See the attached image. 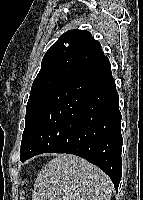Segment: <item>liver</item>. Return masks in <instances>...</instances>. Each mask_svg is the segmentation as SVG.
Wrapping results in <instances>:
<instances>
[{"label": "liver", "instance_id": "1", "mask_svg": "<svg viewBox=\"0 0 143 200\" xmlns=\"http://www.w3.org/2000/svg\"><path fill=\"white\" fill-rule=\"evenodd\" d=\"M111 180L95 165L59 154L39 171L32 200H110Z\"/></svg>", "mask_w": 143, "mask_h": 200}]
</instances>
